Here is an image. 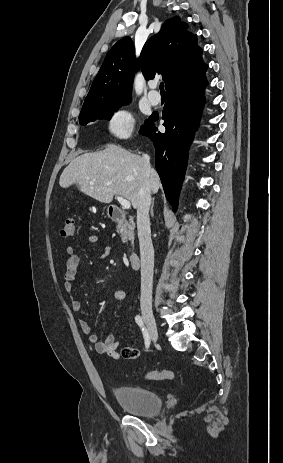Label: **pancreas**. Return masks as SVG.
Listing matches in <instances>:
<instances>
[{"instance_id":"cf45deb5","label":"pancreas","mask_w":283,"mask_h":463,"mask_svg":"<svg viewBox=\"0 0 283 463\" xmlns=\"http://www.w3.org/2000/svg\"><path fill=\"white\" fill-rule=\"evenodd\" d=\"M116 229H117V233L120 234L121 239L124 243H127L128 241H131V242L134 241L135 224L133 222L125 221L121 224H118Z\"/></svg>"}]
</instances>
